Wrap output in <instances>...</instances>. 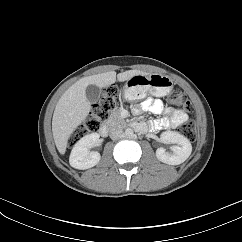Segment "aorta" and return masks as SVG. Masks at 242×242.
Returning <instances> with one entry per match:
<instances>
[{
    "label": "aorta",
    "mask_w": 242,
    "mask_h": 242,
    "mask_svg": "<svg viewBox=\"0 0 242 242\" xmlns=\"http://www.w3.org/2000/svg\"><path fill=\"white\" fill-rule=\"evenodd\" d=\"M125 137L132 138L134 136V132L131 128H127L124 132Z\"/></svg>",
    "instance_id": "1"
}]
</instances>
